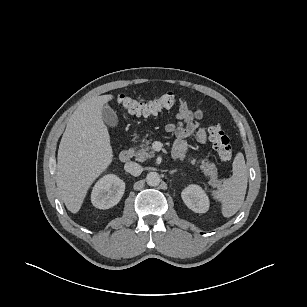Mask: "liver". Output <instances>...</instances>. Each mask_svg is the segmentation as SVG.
I'll return each instance as SVG.
<instances>
[{
	"label": "liver",
	"instance_id": "1",
	"mask_svg": "<svg viewBox=\"0 0 307 307\" xmlns=\"http://www.w3.org/2000/svg\"><path fill=\"white\" fill-rule=\"evenodd\" d=\"M113 95L92 97L72 114L57 156L56 184L66 208L77 213L91 184L113 159L110 136L102 118L103 106Z\"/></svg>",
	"mask_w": 307,
	"mask_h": 307
}]
</instances>
